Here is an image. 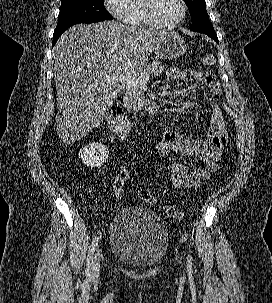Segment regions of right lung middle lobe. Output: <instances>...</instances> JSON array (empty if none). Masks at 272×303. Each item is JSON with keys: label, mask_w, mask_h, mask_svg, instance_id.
<instances>
[{"label": "right lung middle lobe", "mask_w": 272, "mask_h": 303, "mask_svg": "<svg viewBox=\"0 0 272 303\" xmlns=\"http://www.w3.org/2000/svg\"><path fill=\"white\" fill-rule=\"evenodd\" d=\"M112 20L103 0H61V9L54 32L66 30L78 23H95Z\"/></svg>", "instance_id": "1"}]
</instances>
